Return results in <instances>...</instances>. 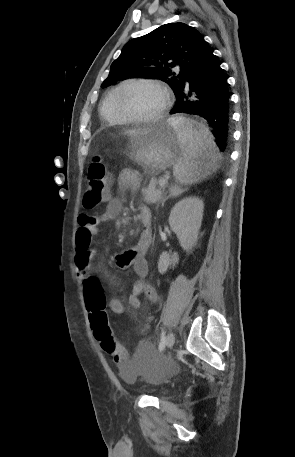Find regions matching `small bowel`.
<instances>
[{
	"instance_id": "c3829d8e",
	"label": "small bowel",
	"mask_w": 295,
	"mask_h": 457,
	"mask_svg": "<svg viewBox=\"0 0 295 457\" xmlns=\"http://www.w3.org/2000/svg\"><path fill=\"white\" fill-rule=\"evenodd\" d=\"M118 187L122 191H137L140 187V177L138 173L130 169L122 170L118 176ZM122 207L123 205L121 200L111 198L100 218H96L89 214H80L78 216L75 272L84 285L87 279L94 277L92 275V259L95 255V250L91 246V241L93 236L98 233V225L101 221L116 219L120 215ZM138 212L139 220L142 225L140 238L133 247L122 251L115 258V262L118 267H132L135 275L137 276V280L133 284L128 298V304L133 309L140 307L141 295H145V297L152 304H157L159 300L156 290L145 280V277L148 274V264L145 259V255L152 241L151 213L144 205L138 207ZM108 305L110 310L115 314L125 313L126 308L124 304L117 298L110 299ZM152 318L153 315L148 318V321L143 325L142 330L147 329ZM121 348L123 351H126L122 345ZM124 361L125 360H121V362L117 364L119 365Z\"/></svg>"
}]
</instances>
